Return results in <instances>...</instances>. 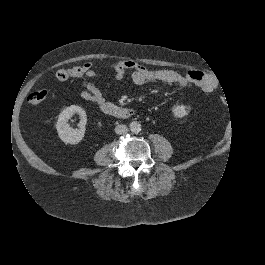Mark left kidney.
Returning <instances> with one entry per match:
<instances>
[{
  "label": "left kidney",
  "instance_id": "5707ae66",
  "mask_svg": "<svg viewBox=\"0 0 265 265\" xmlns=\"http://www.w3.org/2000/svg\"><path fill=\"white\" fill-rule=\"evenodd\" d=\"M172 112L175 117L182 118L188 114L187 107L184 105H175L172 108Z\"/></svg>",
  "mask_w": 265,
  "mask_h": 265
}]
</instances>
